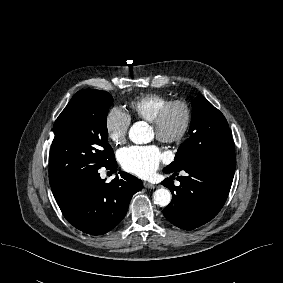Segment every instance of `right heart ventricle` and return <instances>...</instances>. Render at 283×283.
Returning a JSON list of instances; mask_svg holds the SVG:
<instances>
[{"label":"right heart ventricle","instance_id":"right-heart-ventricle-1","mask_svg":"<svg viewBox=\"0 0 283 283\" xmlns=\"http://www.w3.org/2000/svg\"><path fill=\"white\" fill-rule=\"evenodd\" d=\"M169 100L170 98L164 94L144 93L132 99L128 108L132 116L152 122Z\"/></svg>","mask_w":283,"mask_h":283}]
</instances>
